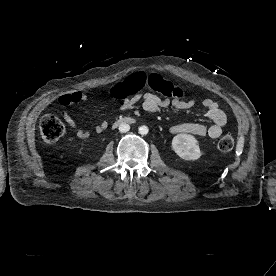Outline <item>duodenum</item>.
I'll use <instances>...</instances> for the list:
<instances>
[{
	"label": "duodenum",
	"instance_id": "1",
	"mask_svg": "<svg viewBox=\"0 0 276 276\" xmlns=\"http://www.w3.org/2000/svg\"><path fill=\"white\" fill-rule=\"evenodd\" d=\"M133 121H134V119L132 117H124V118L116 120L113 123V126L116 127V126H118L121 123H132Z\"/></svg>",
	"mask_w": 276,
	"mask_h": 276
}]
</instances>
